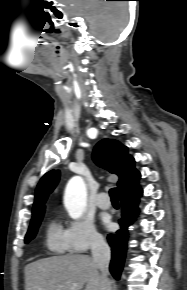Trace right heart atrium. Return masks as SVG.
Returning a JSON list of instances; mask_svg holds the SVG:
<instances>
[{
  "mask_svg": "<svg viewBox=\"0 0 187 290\" xmlns=\"http://www.w3.org/2000/svg\"><path fill=\"white\" fill-rule=\"evenodd\" d=\"M65 234L68 248L73 253H84L103 244V237L93 222L85 217L70 220Z\"/></svg>",
  "mask_w": 187,
  "mask_h": 290,
  "instance_id": "1",
  "label": "right heart atrium"
}]
</instances>
